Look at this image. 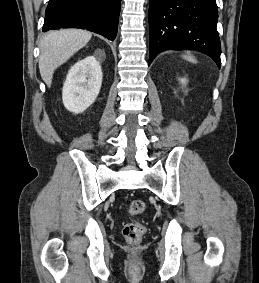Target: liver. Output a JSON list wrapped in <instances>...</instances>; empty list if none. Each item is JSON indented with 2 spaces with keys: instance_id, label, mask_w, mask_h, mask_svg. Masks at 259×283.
<instances>
[{
  "instance_id": "obj_1",
  "label": "liver",
  "mask_w": 259,
  "mask_h": 283,
  "mask_svg": "<svg viewBox=\"0 0 259 283\" xmlns=\"http://www.w3.org/2000/svg\"><path fill=\"white\" fill-rule=\"evenodd\" d=\"M92 33L82 29L50 31L40 43L39 70L43 81L51 86L54 71L91 39Z\"/></svg>"
}]
</instances>
